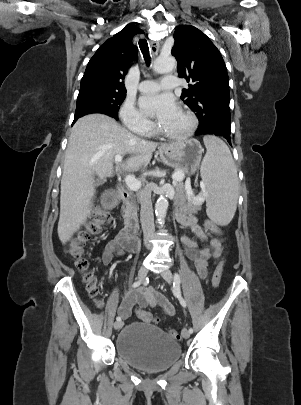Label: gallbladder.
Masks as SVG:
<instances>
[{
  "label": "gallbladder",
  "mask_w": 301,
  "mask_h": 405,
  "mask_svg": "<svg viewBox=\"0 0 301 405\" xmlns=\"http://www.w3.org/2000/svg\"><path fill=\"white\" fill-rule=\"evenodd\" d=\"M104 182V179H98L96 185L99 186Z\"/></svg>",
  "instance_id": "1"
}]
</instances>
